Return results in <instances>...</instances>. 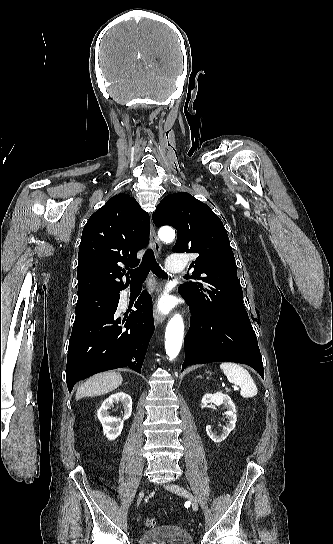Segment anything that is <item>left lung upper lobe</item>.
I'll return each mask as SVG.
<instances>
[{"label": "left lung upper lobe", "mask_w": 333, "mask_h": 544, "mask_svg": "<svg viewBox=\"0 0 333 544\" xmlns=\"http://www.w3.org/2000/svg\"><path fill=\"white\" fill-rule=\"evenodd\" d=\"M152 218L157 227L171 225L177 230L173 252L199 255L191 267L192 279L200 282L184 283L179 292L219 317L252 328L227 232L210 207L185 192L170 194Z\"/></svg>", "instance_id": "left-lung-upper-lobe-1"}]
</instances>
